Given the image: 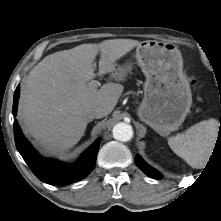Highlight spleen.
<instances>
[{"label": "spleen", "mask_w": 221, "mask_h": 221, "mask_svg": "<svg viewBox=\"0 0 221 221\" xmlns=\"http://www.w3.org/2000/svg\"><path fill=\"white\" fill-rule=\"evenodd\" d=\"M219 130L216 119L201 121L184 133L168 138L173 152L193 168H203L209 160Z\"/></svg>", "instance_id": "3e777b00"}]
</instances>
